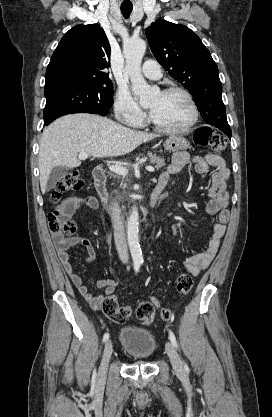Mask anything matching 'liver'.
Here are the masks:
<instances>
[{"instance_id":"obj_1","label":"liver","mask_w":272,"mask_h":417,"mask_svg":"<svg viewBox=\"0 0 272 417\" xmlns=\"http://www.w3.org/2000/svg\"><path fill=\"white\" fill-rule=\"evenodd\" d=\"M156 134L132 130L108 118L94 114H71L60 117L42 134L39 150V180L42 193L56 166L78 167L80 153L103 158L130 153Z\"/></svg>"}]
</instances>
